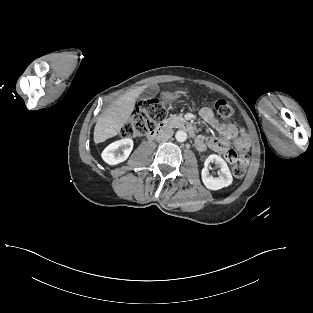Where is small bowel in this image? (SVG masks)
<instances>
[{
    "mask_svg": "<svg viewBox=\"0 0 313 313\" xmlns=\"http://www.w3.org/2000/svg\"><path fill=\"white\" fill-rule=\"evenodd\" d=\"M199 114L200 117L212 128H214L221 137L198 136L195 140L198 150L204 151L209 148L214 152L226 156V154L231 151L235 152L231 149L230 141L233 140L234 146L239 152V155L246 156L253 143L252 137L246 129L233 123H224L220 121L208 107L201 108Z\"/></svg>",
    "mask_w": 313,
    "mask_h": 313,
    "instance_id": "small-bowel-1",
    "label": "small bowel"
}]
</instances>
